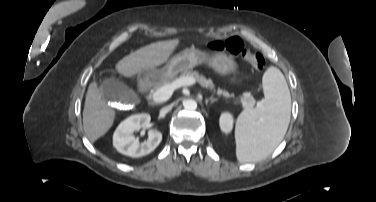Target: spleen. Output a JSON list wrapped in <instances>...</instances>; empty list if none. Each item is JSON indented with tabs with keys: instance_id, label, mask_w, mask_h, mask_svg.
I'll list each match as a JSON object with an SVG mask.
<instances>
[{
	"instance_id": "spleen-1",
	"label": "spleen",
	"mask_w": 376,
	"mask_h": 202,
	"mask_svg": "<svg viewBox=\"0 0 376 202\" xmlns=\"http://www.w3.org/2000/svg\"><path fill=\"white\" fill-rule=\"evenodd\" d=\"M264 100L259 108L243 111L236 120V156L240 162L270 155L284 138L291 115V96L285 77L274 66L263 77Z\"/></svg>"
}]
</instances>
